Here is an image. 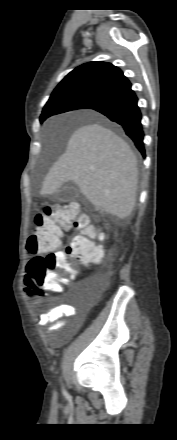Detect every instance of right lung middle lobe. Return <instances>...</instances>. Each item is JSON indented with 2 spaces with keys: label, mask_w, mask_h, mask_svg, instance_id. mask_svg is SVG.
I'll return each instance as SVG.
<instances>
[{
  "label": "right lung middle lobe",
  "mask_w": 177,
  "mask_h": 440,
  "mask_svg": "<svg viewBox=\"0 0 177 440\" xmlns=\"http://www.w3.org/2000/svg\"><path fill=\"white\" fill-rule=\"evenodd\" d=\"M93 101H95L94 97L78 92H63L52 95L43 109L41 121L51 115L83 109Z\"/></svg>",
  "instance_id": "right-lung-middle-lobe-1"
}]
</instances>
